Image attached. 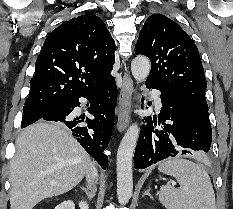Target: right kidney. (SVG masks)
Wrapping results in <instances>:
<instances>
[{"mask_svg": "<svg viewBox=\"0 0 233 209\" xmlns=\"http://www.w3.org/2000/svg\"><path fill=\"white\" fill-rule=\"evenodd\" d=\"M80 209H89V205L81 201L79 203ZM55 209H75V204L72 201H65L55 207Z\"/></svg>", "mask_w": 233, "mask_h": 209, "instance_id": "1", "label": "right kidney"}]
</instances>
